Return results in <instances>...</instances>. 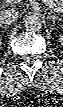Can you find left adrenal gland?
I'll return each instance as SVG.
<instances>
[{"label":"left adrenal gland","mask_w":63,"mask_h":107,"mask_svg":"<svg viewBox=\"0 0 63 107\" xmlns=\"http://www.w3.org/2000/svg\"><path fill=\"white\" fill-rule=\"evenodd\" d=\"M49 19L55 23L56 21L62 20V18H59L57 15H51L49 14Z\"/></svg>","instance_id":"obj_1"}]
</instances>
